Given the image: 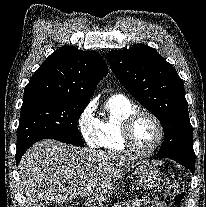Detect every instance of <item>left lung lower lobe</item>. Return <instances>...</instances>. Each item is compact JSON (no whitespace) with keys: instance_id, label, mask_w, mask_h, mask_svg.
I'll use <instances>...</instances> for the list:
<instances>
[{"instance_id":"obj_1","label":"left lung lower lobe","mask_w":206,"mask_h":207,"mask_svg":"<svg viewBox=\"0 0 206 207\" xmlns=\"http://www.w3.org/2000/svg\"><path fill=\"white\" fill-rule=\"evenodd\" d=\"M177 162L187 167L192 172V174H194V163L187 162V161H178V160Z\"/></svg>"}]
</instances>
